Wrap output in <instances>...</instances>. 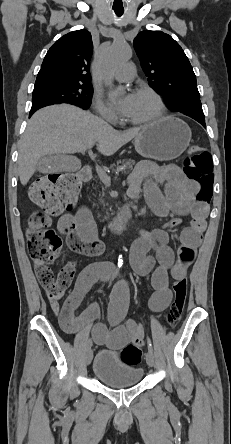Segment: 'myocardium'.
<instances>
[{
  "mask_svg": "<svg viewBox=\"0 0 231 444\" xmlns=\"http://www.w3.org/2000/svg\"><path fill=\"white\" fill-rule=\"evenodd\" d=\"M140 93H145V94H149L151 95L157 102L158 104V112L156 115L144 119V120H131L129 118H126V122L133 124V125H147V124H152L154 122H157L158 120H160L166 112V105L164 102L163 97L153 88L149 87V86H142V87H138L135 90V94H140Z\"/></svg>",
  "mask_w": 231,
  "mask_h": 444,
  "instance_id": "obj_1",
  "label": "myocardium"
}]
</instances>
